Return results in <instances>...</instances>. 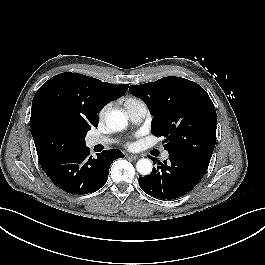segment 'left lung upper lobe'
<instances>
[{
	"label": "left lung upper lobe",
	"instance_id": "left-lung-upper-lobe-1",
	"mask_svg": "<svg viewBox=\"0 0 265 265\" xmlns=\"http://www.w3.org/2000/svg\"><path fill=\"white\" fill-rule=\"evenodd\" d=\"M131 94L149 107L152 133L164 137L169 156L208 168L215 143L217 115L213 102L197 83L180 77L131 85Z\"/></svg>",
	"mask_w": 265,
	"mask_h": 265
}]
</instances>
